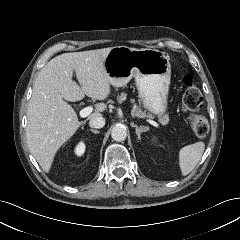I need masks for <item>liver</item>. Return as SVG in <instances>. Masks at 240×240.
<instances>
[{
	"instance_id": "liver-1",
	"label": "liver",
	"mask_w": 240,
	"mask_h": 240,
	"mask_svg": "<svg viewBox=\"0 0 240 240\" xmlns=\"http://www.w3.org/2000/svg\"><path fill=\"white\" fill-rule=\"evenodd\" d=\"M111 49L64 53L50 60L39 72L27 110L26 138L31 154L43 171H50L59 148L83 124L66 101H80L85 95L97 100L109 96L104 60ZM73 72L80 86L73 81ZM105 107L99 103L90 119L100 115Z\"/></svg>"
}]
</instances>
